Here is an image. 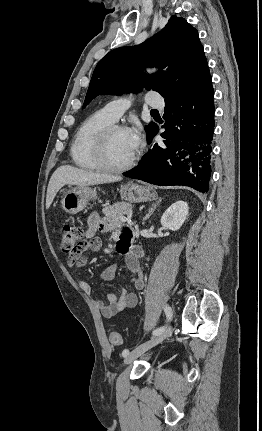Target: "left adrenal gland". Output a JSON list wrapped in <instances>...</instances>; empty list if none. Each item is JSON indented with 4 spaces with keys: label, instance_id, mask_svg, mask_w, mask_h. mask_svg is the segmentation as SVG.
Segmentation results:
<instances>
[{
    "label": "left adrenal gland",
    "instance_id": "1",
    "mask_svg": "<svg viewBox=\"0 0 262 431\" xmlns=\"http://www.w3.org/2000/svg\"><path fill=\"white\" fill-rule=\"evenodd\" d=\"M162 202V198H159L155 203L152 204V206L150 207L147 215L145 216V218L143 219V223L150 218V216L153 214V212L155 211V209L157 208V206Z\"/></svg>",
    "mask_w": 262,
    "mask_h": 431
}]
</instances>
